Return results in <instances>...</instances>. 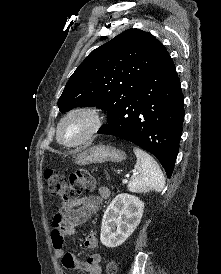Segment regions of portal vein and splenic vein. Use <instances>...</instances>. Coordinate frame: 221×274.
Instances as JSON below:
<instances>
[{"mask_svg": "<svg viewBox=\"0 0 221 274\" xmlns=\"http://www.w3.org/2000/svg\"><path fill=\"white\" fill-rule=\"evenodd\" d=\"M124 184L128 182V178L123 179L122 181Z\"/></svg>", "mask_w": 221, "mask_h": 274, "instance_id": "18ae733b", "label": "portal vein and splenic vein"}]
</instances>
